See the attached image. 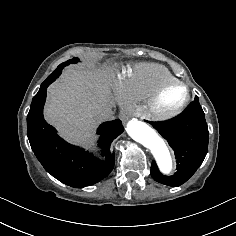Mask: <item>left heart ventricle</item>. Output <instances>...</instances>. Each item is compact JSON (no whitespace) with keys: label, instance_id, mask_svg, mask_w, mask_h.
<instances>
[{"label":"left heart ventricle","instance_id":"1","mask_svg":"<svg viewBox=\"0 0 236 236\" xmlns=\"http://www.w3.org/2000/svg\"><path fill=\"white\" fill-rule=\"evenodd\" d=\"M184 96V89L182 87H175L168 90L161 100V107L163 109H171L176 106Z\"/></svg>","mask_w":236,"mask_h":236}]
</instances>
